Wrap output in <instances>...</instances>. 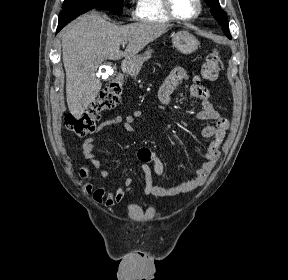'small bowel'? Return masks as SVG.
I'll use <instances>...</instances> for the list:
<instances>
[{
    "label": "small bowel",
    "mask_w": 288,
    "mask_h": 280,
    "mask_svg": "<svg viewBox=\"0 0 288 280\" xmlns=\"http://www.w3.org/2000/svg\"><path fill=\"white\" fill-rule=\"evenodd\" d=\"M188 80H190V75L183 67H176L171 71L158 92L163 109L170 103L171 96L178 90L180 83ZM190 96L199 100L202 104V110L195 115L196 119L213 122V124L207 125L202 129V136L209 139V144L204 152L205 160L196 170L195 176L191 180L173 187L165 188L156 182V180L160 179L164 174L163 162L149 148H140L135 153V157L141 162V167L145 174V187L139 191L141 195L170 197L193 191L206 182L219 159V148L229 126V122L225 117L221 116L214 107L207 88L197 83H192L190 86ZM142 116L143 112L141 110H136L131 115L125 117L115 116L101 122L94 131V135L88 137L84 141L83 149L85 157L94 167L101 168V162L96 158L94 152L96 136L101 134L108 127L114 125H121L126 131L132 132L135 121ZM80 175L87 180L85 190L88 194L92 195L93 201L97 204H104L108 208L122 202L127 194L138 192L133 186L134 181L131 177H126L123 184L115 190L107 191L104 187L94 188L93 184L89 182V171L87 167H83L80 170ZM109 175L110 173L108 170H100V176L102 178H107Z\"/></svg>",
    "instance_id": "c3829d8e"
}]
</instances>
